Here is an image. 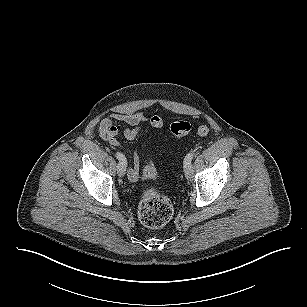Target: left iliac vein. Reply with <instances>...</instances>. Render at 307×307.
<instances>
[{"label": "left iliac vein", "mask_w": 307, "mask_h": 307, "mask_svg": "<svg viewBox=\"0 0 307 307\" xmlns=\"http://www.w3.org/2000/svg\"><path fill=\"white\" fill-rule=\"evenodd\" d=\"M185 177L188 180H192L194 176L193 165L190 163L189 165L184 167Z\"/></svg>", "instance_id": "4c4485c4"}]
</instances>
